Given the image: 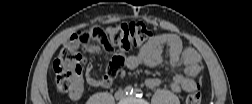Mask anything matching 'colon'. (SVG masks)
I'll return each instance as SVG.
<instances>
[{"label": "colon", "instance_id": "5ec220e1", "mask_svg": "<svg viewBox=\"0 0 252 104\" xmlns=\"http://www.w3.org/2000/svg\"><path fill=\"white\" fill-rule=\"evenodd\" d=\"M152 36V31L142 22L111 27L93 26L88 30L78 31L62 47L53 63L57 88L69 94L81 92L82 70L86 61L84 53H90L91 42H96L107 52L115 53L106 73L114 78L123 64V53L139 47ZM200 101V85L196 83L187 96V102L198 104Z\"/></svg>", "mask_w": 252, "mask_h": 104}]
</instances>
